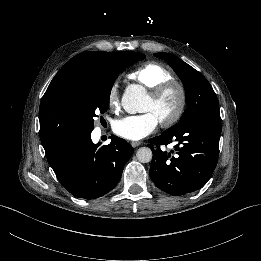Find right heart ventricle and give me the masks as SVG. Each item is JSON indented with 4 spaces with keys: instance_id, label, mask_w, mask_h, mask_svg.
Returning a JSON list of instances; mask_svg holds the SVG:
<instances>
[{
    "instance_id": "right-heart-ventricle-1",
    "label": "right heart ventricle",
    "mask_w": 261,
    "mask_h": 261,
    "mask_svg": "<svg viewBox=\"0 0 261 261\" xmlns=\"http://www.w3.org/2000/svg\"><path fill=\"white\" fill-rule=\"evenodd\" d=\"M130 77L150 91L163 82L173 80V75L168 68L153 61L138 67Z\"/></svg>"
}]
</instances>
